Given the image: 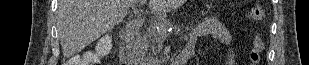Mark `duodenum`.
I'll return each instance as SVG.
<instances>
[{"label": "duodenum", "instance_id": "410a0bca", "mask_svg": "<svg viewBox=\"0 0 309 65\" xmlns=\"http://www.w3.org/2000/svg\"><path fill=\"white\" fill-rule=\"evenodd\" d=\"M142 24L133 22L121 33L119 39V62L120 65H131L129 62V49L137 37ZM194 48L185 47L182 52L177 56L174 65H184L192 57Z\"/></svg>", "mask_w": 309, "mask_h": 65}]
</instances>
